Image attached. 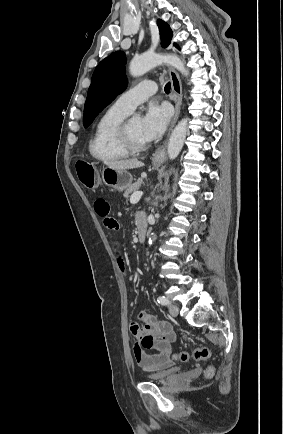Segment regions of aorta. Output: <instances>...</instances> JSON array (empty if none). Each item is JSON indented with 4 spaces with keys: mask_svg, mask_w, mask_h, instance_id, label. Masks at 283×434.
I'll return each instance as SVG.
<instances>
[{
    "mask_svg": "<svg viewBox=\"0 0 283 434\" xmlns=\"http://www.w3.org/2000/svg\"><path fill=\"white\" fill-rule=\"evenodd\" d=\"M164 63L172 65L185 76H188L189 74L184 62L179 57L175 55H160L151 53H146L139 57L133 58L129 65V71L132 76L139 77L144 75L150 69ZM187 130V119H182L180 122H178L171 133L167 147L168 156L170 159H175L180 153L187 135ZM154 239L155 237L153 239L150 238L149 244H152Z\"/></svg>",
    "mask_w": 283,
    "mask_h": 434,
    "instance_id": "1",
    "label": "aorta"
}]
</instances>
